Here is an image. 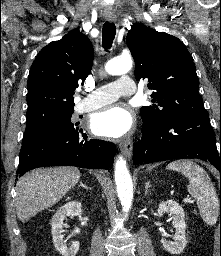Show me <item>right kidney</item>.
Here are the masks:
<instances>
[{
	"instance_id": "ca27d5eb",
	"label": "right kidney",
	"mask_w": 221,
	"mask_h": 256,
	"mask_svg": "<svg viewBox=\"0 0 221 256\" xmlns=\"http://www.w3.org/2000/svg\"><path fill=\"white\" fill-rule=\"evenodd\" d=\"M82 215V205L80 202L71 201L64 206L60 207L58 211L52 217V237L53 243L56 250L62 256H75L79 250V241H75L72 243L70 247H67L64 243L63 226L64 220L66 217L80 216Z\"/></svg>"
}]
</instances>
